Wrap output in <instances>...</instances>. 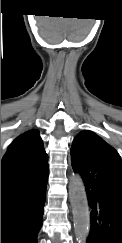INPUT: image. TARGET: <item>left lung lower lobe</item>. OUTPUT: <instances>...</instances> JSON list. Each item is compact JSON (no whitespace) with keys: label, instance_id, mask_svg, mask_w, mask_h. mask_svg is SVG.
Listing matches in <instances>:
<instances>
[{"label":"left lung lower lobe","instance_id":"left-lung-lower-lobe-1","mask_svg":"<svg viewBox=\"0 0 122 243\" xmlns=\"http://www.w3.org/2000/svg\"><path fill=\"white\" fill-rule=\"evenodd\" d=\"M83 182L89 209L86 243H122V161L114 148L72 166Z\"/></svg>","mask_w":122,"mask_h":243}]
</instances>
